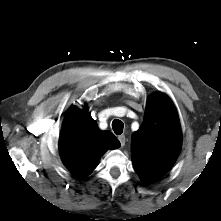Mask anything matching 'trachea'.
<instances>
[{
    "instance_id": "1",
    "label": "trachea",
    "mask_w": 221,
    "mask_h": 221,
    "mask_svg": "<svg viewBox=\"0 0 221 221\" xmlns=\"http://www.w3.org/2000/svg\"><path fill=\"white\" fill-rule=\"evenodd\" d=\"M112 128H113V131L115 132V134L120 135L123 133L124 124L122 121L115 119L112 122Z\"/></svg>"
}]
</instances>
